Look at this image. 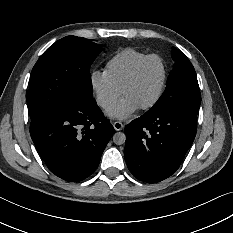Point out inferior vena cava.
<instances>
[{
    "label": "inferior vena cava",
    "mask_w": 233,
    "mask_h": 233,
    "mask_svg": "<svg viewBox=\"0 0 233 233\" xmlns=\"http://www.w3.org/2000/svg\"><path fill=\"white\" fill-rule=\"evenodd\" d=\"M98 105L100 107H102L103 109H107V108L111 107L113 104L110 101L103 100V101H99Z\"/></svg>",
    "instance_id": "inferior-vena-cava-1"
}]
</instances>
